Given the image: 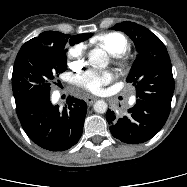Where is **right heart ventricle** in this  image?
<instances>
[{
	"label": "right heart ventricle",
	"mask_w": 187,
	"mask_h": 187,
	"mask_svg": "<svg viewBox=\"0 0 187 187\" xmlns=\"http://www.w3.org/2000/svg\"><path fill=\"white\" fill-rule=\"evenodd\" d=\"M96 42L110 54L115 56L122 55L129 49L127 38L117 32L99 35L96 38Z\"/></svg>",
	"instance_id": "e07e8e85"
}]
</instances>
